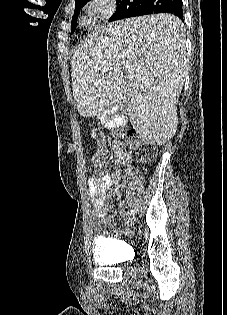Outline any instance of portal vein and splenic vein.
Here are the masks:
<instances>
[{
    "instance_id": "obj_1",
    "label": "portal vein and splenic vein",
    "mask_w": 227,
    "mask_h": 315,
    "mask_svg": "<svg viewBox=\"0 0 227 315\" xmlns=\"http://www.w3.org/2000/svg\"><path fill=\"white\" fill-rule=\"evenodd\" d=\"M106 71H107V69H106V68H104V69H103V72H106Z\"/></svg>"
}]
</instances>
